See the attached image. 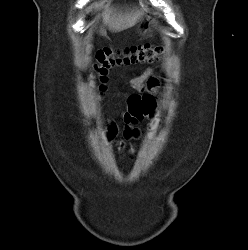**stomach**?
I'll return each mask as SVG.
<instances>
[{
	"instance_id": "0dacf381",
	"label": "stomach",
	"mask_w": 248,
	"mask_h": 250,
	"mask_svg": "<svg viewBox=\"0 0 248 250\" xmlns=\"http://www.w3.org/2000/svg\"><path fill=\"white\" fill-rule=\"evenodd\" d=\"M142 32H143L144 35L147 34V33L149 32L148 26H147V25H144V26H143Z\"/></svg>"
}]
</instances>
